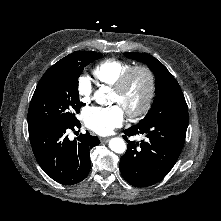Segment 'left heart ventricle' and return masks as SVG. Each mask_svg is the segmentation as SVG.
Masks as SVG:
<instances>
[{
    "instance_id": "left-heart-ventricle-1",
    "label": "left heart ventricle",
    "mask_w": 221,
    "mask_h": 221,
    "mask_svg": "<svg viewBox=\"0 0 221 221\" xmlns=\"http://www.w3.org/2000/svg\"><path fill=\"white\" fill-rule=\"evenodd\" d=\"M147 90L146 78L137 73L132 78L126 93L121 97L113 92L112 102L118 103L125 111L137 109L143 102Z\"/></svg>"
}]
</instances>
